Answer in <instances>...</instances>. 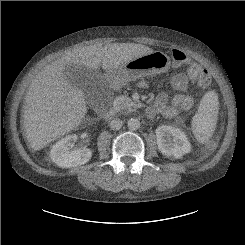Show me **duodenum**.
Segmentation results:
<instances>
[{
	"label": "duodenum",
	"mask_w": 245,
	"mask_h": 245,
	"mask_svg": "<svg viewBox=\"0 0 245 245\" xmlns=\"http://www.w3.org/2000/svg\"><path fill=\"white\" fill-rule=\"evenodd\" d=\"M119 87V82L117 79H111L110 88L116 90ZM105 119L110 120L115 116V111L113 109H108L103 113Z\"/></svg>",
	"instance_id": "410a0bca"
}]
</instances>
